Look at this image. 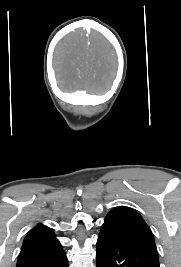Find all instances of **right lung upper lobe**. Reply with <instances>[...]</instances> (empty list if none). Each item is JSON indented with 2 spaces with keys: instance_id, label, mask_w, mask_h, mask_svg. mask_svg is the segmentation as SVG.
Wrapping results in <instances>:
<instances>
[{
  "instance_id": "cb5924a9",
  "label": "right lung upper lobe",
  "mask_w": 181,
  "mask_h": 267,
  "mask_svg": "<svg viewBox=\"0 0 181 267\" xmlns=\"http://www.w3.org/2000/svg\"><path fill=\"white\" fill-rule=\"evenodd\" d=\"M60 248L61 245L53 231L41 224L28 232L22 246V250H56Z\"/></svg>"
}]
</instances>
